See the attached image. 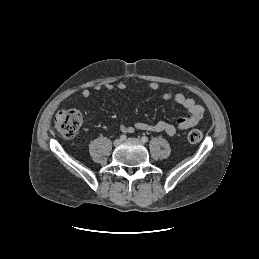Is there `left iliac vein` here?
<instances>
[{
	"instance_id": "4c4485c4",
	"label": "left iliac vein",
	"mask_w": 259,
	"mask_h": 259,
	"mask_svg": "<svg viewBox=\"0 0 259 259\" xmlns=\"http://www.w3.org/2000/svg\"><path fill=\"white\" fill-rule=\"evenodd\" d=\"M127 141L143 144V142L141 140L137 139V138H129V139H127Z\"/></svg>"
}]
</instances>
